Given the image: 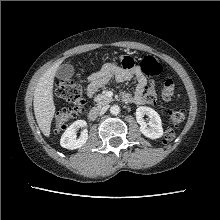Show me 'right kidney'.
Segmentation results:
<instances>
[{"mask_svg": "<svg viewBox=\"0 0 220 220\" xmlns=\"http://www.w3.org/2000/svg\"><path fill=\"white\" fill-rule=\"evenodd\" d=\"M86 126V122L84 120H77L72 123L62 134L60 145L66 149H77L82 147L88 140V132L87 130H83L77 138V131L79 128H83Z\"/></svg>", "mask_w": 220, "mask_h": 220, "instance_id": "1", "label": "right kidney"}]
</instances>
